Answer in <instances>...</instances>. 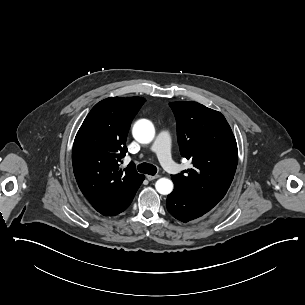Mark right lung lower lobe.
Here are the masks:
<instances>
[{
    "mask_svg": "<svg viewBox=\"0 0 305 305\" xmlns=\"http://www.w3.org/2000/svg\"><path fill=\"white\" fill-rule=\"evenodd\" d=\"M136 191L137 190L132 192L129 196H127L125 199L118 202L114 206H111V207H109L105 210H102L99 213H101L102 215H105V216H113V215H117V214L123 212L131 204V202H132V200L135 196Z\"/></svg>",
    "mask_w": 305,
    "mask_h": 305,
    "instance_id": "obj_1",
    "label": "right lung lower lobe"
}]
</instances>
